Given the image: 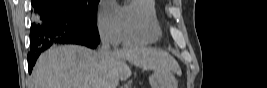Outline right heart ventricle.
Here are the masks:
<instances>
[{
    "mask_svg": "<svg viewBox=\"0 0 267 88\" xmlns=\"http://www.w3.org/2000/svg\"><path fill=\"white\" fill-rule=\"evenodd\" d=\"M122 9L126 46L154 44L162 37V26L153 0H133Z\"/></svg>",
    "mask_w": 267,
    "mask_h": 88,
    "instance_id": "obj_1",
    "label": "right heart ventricle"
}]
</instances>
